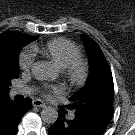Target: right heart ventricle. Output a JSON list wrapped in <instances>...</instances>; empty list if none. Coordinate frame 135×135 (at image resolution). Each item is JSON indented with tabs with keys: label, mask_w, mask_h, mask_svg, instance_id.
I'll use <instances>...</instances> for the list:
<instances>
[{
	"label": "right heart ventricle",
	"mask_w": 135,
	"mask_h": 135,
	"mask_svg": "<svg viewBox=\"0 0 135 135\" xmlns=\"http://www.w3.org/2000/svg\"><path fill=\"white\" fill-rule=\"evenodd\" d=\"M31 50L33 52H41L61 69L67 67L72 61L81 56L79 46L63 37L49 40L42 47L38 44H32Z\"/></svg>",
	"instance_id": "e07e8e85"
}]
</instances>
